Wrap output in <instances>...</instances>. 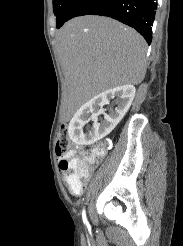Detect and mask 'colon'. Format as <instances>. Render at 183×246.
<instances>
[{"instance_id":"obj_1","label":"colon","mask_w":183,"mask_h":246,"mask_svg":"<svg viewBox=\"0 0 183 246\" xmlns=\"http://www.w3.org/2000/svg\"><path fill=\"white\" fill-rule=\"evenodd\" d=\"M70 133L67 127H62L56 144L57 155L61 158L60 169L69 177L71 192L80 191L90 173V167L101 159L105 153L104 146L93 147L79 157L65 158L71 150Z\"/></svg>"}]
</instances>
